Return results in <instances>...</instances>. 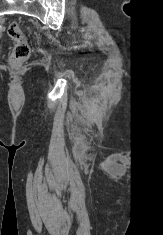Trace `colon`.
<instances>
[{
    "label": "colon",
    "instance_id": "1",
    "mask_svg": "<svg viewBox=\"0 0 163 235\" xmlns=\"http://www.w3.org/2000/svg\"><path fill=\"white\" fill-rule=\"evenodd\" d=\"M7 33L15 42V46L10 57V62L13 66L18 67L29 58L31 47L17 22L10 23Z\"/></svg>",
    "mask_w": 163,
    "mask_h": 235
}]
</instances>
